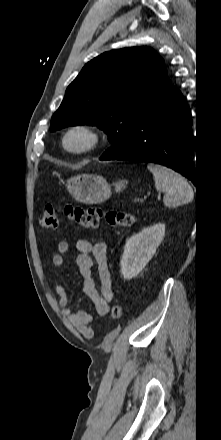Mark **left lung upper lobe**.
Masks as SVG:
<instances>
[{"label": "left lung upper lobe", "instance_id": "1", "mask_svg": "<svg viewBox=\"0 0 221 440\" xmlns=\"http://www.w3.org/2000/svg\"><path fill=\"white\" fill-rule=\"evenodd\" d=\"M169 83L163 59L149 47L105 52L88 62L68 86L51 130L96 125L112 144L103 157H118L128 148L142 113Z\"/></svg>", "mask_w": 221, "mask_h": 440}]
</instances>
